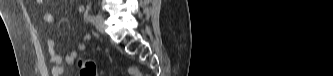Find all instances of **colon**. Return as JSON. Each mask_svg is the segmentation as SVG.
Returning <instances> with one entry per match:
<instances>
[{
    "instance_id": "obj_1",
    "label": "colon",
    "mask_w": 333,
    "mask_h": 76,
    "mask_svg": "<svg viewBox=\"0 0 333 76\" xmlns=\"http://www.w3.org/2000/svg\"><path fill=\"white\" fill-rule=\"evenodd\" d=\"M78 69L81 76H97L96 64L91 58H82L78 61ZM130 76H140L141 73L135 67L128 70Z\"/></svg>"
}]
</instances>
